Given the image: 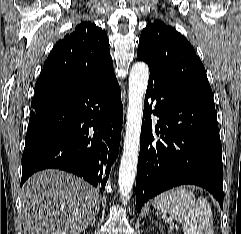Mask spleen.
<instances>
[{"label":"spleen","instance_id":"obj_1","mask_svg":"<svg viewBox=\"0 0 241 234\" xmlns=\"http://www.w3.org/2000/svg\"><path fill=\"white\" fill-rule=\"evenodd\" d=\"M153 206L182 224L184 234H214L212 210L203 197L184 186L167 190L153 200Z\"/></svg>","mask_w":241,"mask_h":234}]
</instances>
